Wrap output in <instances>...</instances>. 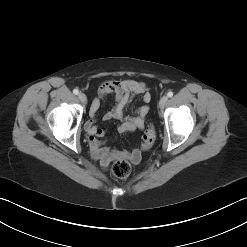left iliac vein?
I'll return each instance as SVG.
<instances>
[{
    "label": "left iliac vein",
    "mask_w": 247,
    "mask_h": 247,
    "mask_svg": "<svg viewBox=\"0 0 247 247\" xmlns=\"http://www.w3.org/2000/svg\"><path fill=\"white\" fill-rule=\"evenodd\" d=\"M167 101H168V97H167V96L161 97V99H160V101H159V107H160L161 109H163V108L165 107Z\"/></svg>",
    "instance_id": "left-iliac-vein-1"
}]
</instances>
